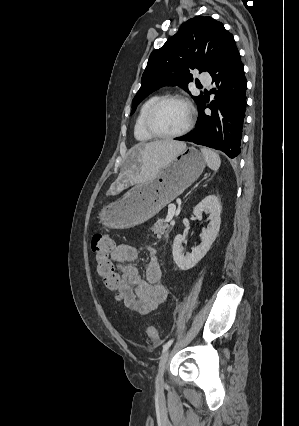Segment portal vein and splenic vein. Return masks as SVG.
<instances>
[{
    "mask_svg": "<svg viewBox=\"0 0 299 426\" xmlns=\"http://www.w3.org/2000/svg\"><path fill=\"white\" fill-rule=\"evenodd\" d=\"M175 212H176V206H175V204H170L168 206V214H167V217H166L165 221L166 222H170L172 220L173 216L175 215Z\"/></svg>",
    "mask_w": 299,
    "mask_h": 426,
    "instance_id": "portal-vein-and-splenic-vein-1",
    "label": "portal vein and splenic vein"
}]
</instances>
